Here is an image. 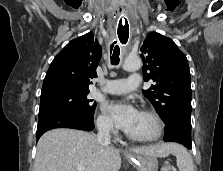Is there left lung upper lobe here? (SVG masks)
I'll return each instance as SVG.
<instances>
[{"instance_id":"obj_1","label":"left lung upper lobe","mask_w":223,"mask_h":171,"mask_svg":"<svg viewBox=\"0 0 223 171\" xmlns=\"http://www.w3.org/2000/svg\"><path fill=\"white\" fill-rule=\"evenodd\" d=\"M144 80L154 85L143 90L166 124L175 118L191 123L190 71L186 56L169 37L147 35L141 46Z\"/></svg>"}]
</instances>
